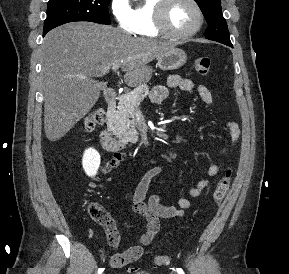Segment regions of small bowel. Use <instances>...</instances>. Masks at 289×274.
I'll use <instances>...</instances> for the list:
<instances>
[{
  "label": "small bowel",
  "instance_id": "obj_1",
  "mask_svg": "<svg viewBox=\"0 0 289 274\" xmlns=\"http://www.w3.org/2000/svg\"><path fill=\"white\" fill-rule=\"evenodd\" d=\"M169 88H178L182 91H196L201 100L210 105L213 103V95L210 90L204 85H195L194 82L187 78H182L179 75H171L167 80V85H158L152 91V100L154 102H163L168 96ZM228 139L218 153V156H223L234 148L240 137L239 125L236 122L227 124ZM126 156L124 153L116 152L112 158L107 161L102 167L103 173H109L117 168ZM222 170L221 164H211L207 169V174L210 177L217 176ZM166 168L162 165H157L150 168L138 183L133 194V212L139 216L145 223V231L139 239V243L133 245L123 252L115 253L107 257L104 250H100L101 257L107 260L112 268H122L128 264L137 261L143 254L144 248L148 246L160 229V220H168L175 217H182L185 211L192 207V201L189 198L181 197L177 201L176 206H167L162 203V196L159 193L151 195L146 201V196L149 191L151 182L158 176L164 174ZM210 185L209 179L199 180L193 186L188 194L191 198L200 197L204 190ZM120 237L118 232L113 238L107 233V242L109 246L116 249L119 245Z\"/></svg>",
  "mask_w": 289,
  "mask_h": 274
}]
</instances>
